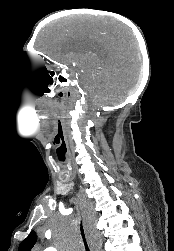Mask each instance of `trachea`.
<instances>
[{"instance_id":"trachea-1","label":"trachea","mask_w":174,"mask_h":251,"mask_svg":"<svg viewBox=\"0 0 174 251\" xmlns=\"http://www.w3.org/2000/svg\"><path fill=\"white\" fill-rule=\"evenodd\" d=\"M81 234H82V238H83V241H84V244H85L86 251H89L88 245H87L86 240H85L84 231H83L82 226H81Z\"/></svg>"}]
</instances>
